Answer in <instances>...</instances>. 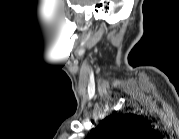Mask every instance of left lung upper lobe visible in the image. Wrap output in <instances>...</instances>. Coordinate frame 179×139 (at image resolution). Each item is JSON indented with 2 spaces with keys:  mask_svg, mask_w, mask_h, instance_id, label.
I'll list each match as a JSON object with an SVG mask.
<instances>
[{
  "mask_svg": "<svg viewBox=\"0 0 179 139\" xmlns=\"http://www.w3.org/2000/svg\"><path fill=\"white\" fill-rule=\"evenodd\" d=\"M150 126L134 114H113L98 125L88 139H142Z\"/></svg>",
  "mask_w": 179,
  "mask_h": 139,
  "instance_id": "left-lung-upper-lobe-1",
  "label": "left lung upper lobe"
}]
</instances>
